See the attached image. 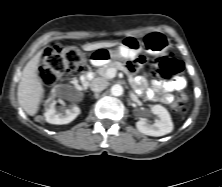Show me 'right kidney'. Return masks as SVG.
Returning <instances> with one entry per match:
<instances>
[{
  "label": "right kidney",
  "mask_w": 222,
  "mask_h": 187,
  "mask_svg": "<svg viewBox=\"0 0 222 187\" xmlns=\"http://www.w3.org/2000/svg\"><path fill=\"white\" fill-rule=\"evenodd\" d=\"M55 104L56 101L50 100L47 111L44 114L48 123L58 125L68 124L80 114V108L78 106H72L69 109L57 111Z\"/></svg>",
  "instance_id": "1"
}]
</instances>
